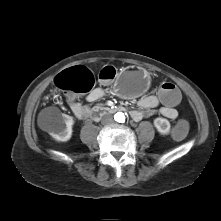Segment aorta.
Segmentation results:
<instances>
[{"mask_svg": "<svg viewBox=\"0 0 221 221\" xmlns=\"http://www.w3.org/2000/svg\"><path fill=\"white\" fill-rule=\"evenodd\" d=\"M114 119H115V121H117V122H124V120H125V116H124V113H122V112H117L115 115H114Z\"/></svg>", "mask_w": 221, "mask_h": 221, "instance_id": "aorta-1", "label": "aorta"}]
</instances>
